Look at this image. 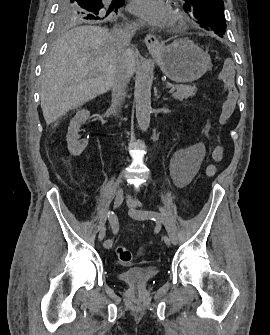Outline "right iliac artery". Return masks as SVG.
I'll use <instances>...</instances> for the list:
<instances>
[{
    "mask_svg": "<svg viewBox=\"0 0 270 335\" xmlns=\"http://www.w3.org/2000/svg\"><path fill=\"white\" fill-rule=\"evenodd\" d=\"M107 216H108V220H109V223H110V226H111V229H112L113 233L117 234L118 230H119V222H118L117 216L114 214L113 211H109ZM112 244H113V240L108 239V240L104 241L103 246L105 248L109 249L112 246Z\"/></svg>",
    "mask_w": 270,
    "mask_h": 335,
    "instance_id": "right-iliac-artery-1",
    "label": "right iliac artery"
}]
</instances>
